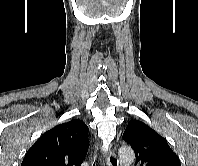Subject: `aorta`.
Segmentation results:
<instances>
[{
	"mask_svg": "<svg viewBox=\"0 0 198 166\" xmlns=\"http://www.w3.org/2000/svg\"><path fill=\"white\" fill-rule=\"evenodd\" d=\"M118 153L121 165L123 166H130L135 160L134 151L128 146L121 147Z\"/></svg>",
	"mask_w": 198,
	"mask_h": 166,
	"instance_id": "762f6f07",
	"label": "aorta"
}]
</instances>
